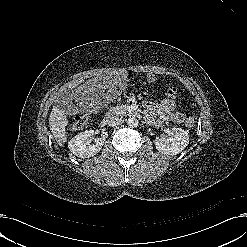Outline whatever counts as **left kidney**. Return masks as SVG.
I'll return each mask as SVG.
<instances>
[{
  "mask_svg": "<svg viewBox=\"0 0 247 247\" xmlns=\"http://www.w3.org/2000/svg\"><path fill=\"white\" fill-rule=\"evenodd\" d=\"M166 132L168 137L162 136L155 140V147L162 154L177 155L189 144L188 131L174 127Z\"/></svg>",
  "mask_w": 247,
  "mask_h": 247,
  "instance_id": "obj_1",
  "label": "left kidney"
}]
</instances>
